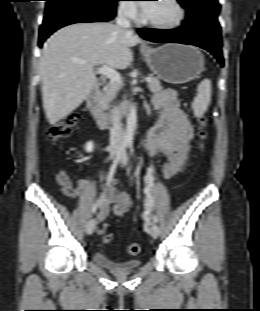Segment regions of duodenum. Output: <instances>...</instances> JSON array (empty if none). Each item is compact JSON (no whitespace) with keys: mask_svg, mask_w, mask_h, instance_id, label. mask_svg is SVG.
I'll return each instance as SVG.
<instances>
[{"mask_svg":"<svg viewBox=\"0 0 260 311\" xmlns=\"http://www.w3.org/2000/svg\"><path fill=\"white\" fill-rule=\"evenodd\" d=\"M103 82L102 79H98L96 85H94L86 96V107L92 118L100 125H107L109 124L112 119L114 118L115 114L105 112L100 104L99 98V89L100 84ZM134 107L133 103H127L120 106L118 115H127Z\"/></svg>","mask_w":260,"mask_h":311,"instance_id":"410a0bca","label":"duodenum"}]
</instances>
